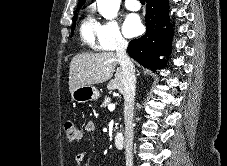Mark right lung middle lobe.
Wrapping results in <instances>:
<instances>
[{
    "mask_svg": "<svg viewBox=\"0 0 227 166\" xmlns=\"http://www.w3.org/2000/svg\"><path fill=\"white\" fill-rule=\"evenodd\" d=\"M82 6H78L77 10H79ZM76 18H77V13H75L74 18H73V26H72V30H71V36L73 35V31H74V27H75V23H76Z\"/></svg>",
    "mask_w": 227,
    "mask_h": 166,
    "instance_id": "obj_1",
    "label": "right lung middle lobe"
}]
</instances>
